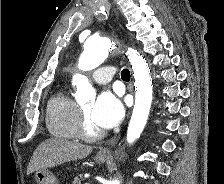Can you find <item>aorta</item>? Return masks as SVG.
Segmentation results:
<instances>
[{
	"label": "aorta",
	"mask_w": 224,
	"mask_h": 184,
	"mask_svg": "<svg viewBox=\"0 0 224 184\" xmlns=\"http://www.w3.org/2000/svg\"><path fill=\"white\" fill-rule=\"evenodd\" d=\"M116 48L117 44L108 38H88L79 58L78 68L81 71L97 68L107 59L109 52ZM126 55L135 79V104L126 136L127 142L132 144L140 137L148 119L152 103V79L148 64L138 51L128 48ZM72 84L76 86L75 98L78 102L82 103L95 98V90L84 75L75 74ZM112 184H120V180L115 179Z\"/></svg>",
	"instance_id": "aorta-1"
}]
</instances>
